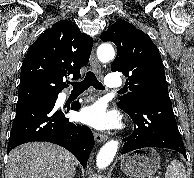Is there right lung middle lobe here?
Wrapping results in <instances>:
<instances>
[{"label": "right lung middle lobe", "instance_id": "1", "mask_svg": "<svg viewBox=\"0 0 194 178\" xmlns=\"http://www.w3.org/2000/svg\"><path fill=\"white\" fill-rule=\"evenodd\" d=\"M52 99H55V98H51V99H46V100H52Z\"/></svg>", "mask_w": 194, "mask_h": 178}]
</instances>
